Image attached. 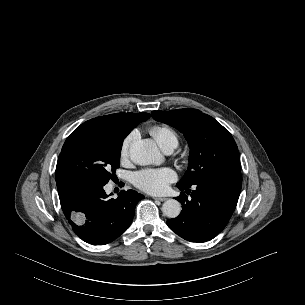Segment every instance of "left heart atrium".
Returning a JSON list of instances; mask_svg holds the SVG:
<instances>
[{
    "label": "left heart atrium",
    "mask_w": 305,
    "mask_h": 305,
    "mask_svg": "<svg viewBox=\"0 0 305 305\" xmlns=\"http://www.w3.org/2000/svg\"><path fill=\"white\" fill-rule=\"evenodd\" d=\"M176 180V173L170 168L146 169L133 176V183L141 190L151 194H161Z\"/></svg>",
    "instance_id": "1"
}]
</instances>
